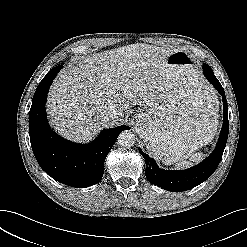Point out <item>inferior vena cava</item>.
Listing matches in <instances>:
<instances>
[{"instance_id":"602c4592","label":"inferior vena cava","mask_w":247,"mask_h":247,"mask_svg":"<svg viewBox=\"0 0 247 247\" xmlns=\"http://www.w3.org/2000/svg\"><path fill=\"white\" fill-rule=\"evenodd\" d=\"M120 116V113L118 110H116L113 106L107 107L105 111L102 113V117L105 120L115 119Z\"/></svg>"}]
</instances>
